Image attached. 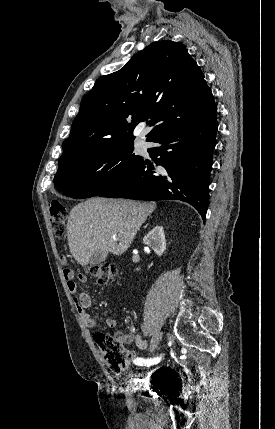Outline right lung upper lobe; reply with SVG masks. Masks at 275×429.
I'll use <instances>...</instances> for the list:
<instances>
[{
	"mask_svg": "<svg viewBox=\"0 0 275 429\" xmlns=\"http://www.w3.org/2000/svg\"><path fill=\"white\" fill-rule=\"evenodd\" d=\"M217 107L204 74L179 42L157 41L119 71L101 76L81 101L58 166L94 150L134 140L133 130L150 119L146 141Z\"/></svg>",
	"mask_w": 275,
	"mask_h": 429,
	"instance_id": "1",
	"label": "right lung upper lobe"
}]
</instances>
